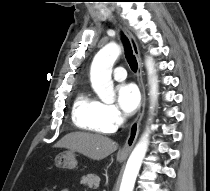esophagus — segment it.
<instances>
[{
  "mask_svg": "<svg viewBox=\"0 0 210 191\" xmlns=\"http://www.w3.org/2000/svg\"><path fill=\"white\" fill-rule=\"evenodd\" d=\"M123 31L131 43L133 53L138 63L137 81H138V85L141 91V107H140L137 117L135 118V120L130 126L129 135L127 137V140L124 146L119 150L118 156H127L131 152L139 134L140 124L144 115L145 105H146V92H145V86L143 82V63L140 56V50L132 32L126 26H123Z\"/></svg>",
  "mask_w": 210,
  "mask_h": 191,
  "instance_id": "obj_1",
  "label": "esophagus"
}]
</instances>
